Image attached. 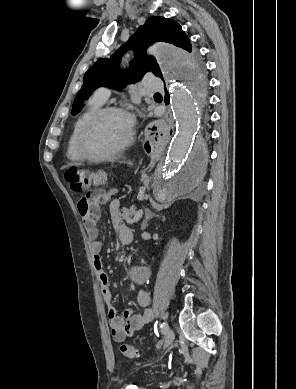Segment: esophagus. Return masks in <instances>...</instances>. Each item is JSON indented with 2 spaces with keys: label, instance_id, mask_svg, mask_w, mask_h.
I'll return each instance as SVG.
<instances>
[{
  "label": "esophagus",
  "instance_id": "1",
  "mask_svg": "<svg viewBox=\"0 0 296 389\" xmlns=\"http://www.w3.org/2000/svg\"><path fill=\"white\" fill-rule=\"evenodd\" d=\"M146 130L151 135H160L166 127V122L164 118H161L159 120H154L152 118H147L145 122Z\"/></svg>",
  "mask_w": 296,
  "mask_h": 389
}]
</instances>
